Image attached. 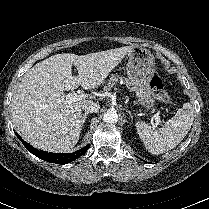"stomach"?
Instances as JSON below:
<instances>
[{
  "label": "stomach",
  "mask_w": 209,
  "mask_h": 209,
  "mask_svg": "<svg viewBox=\"0 0 209 209\" xmlns=\"http://www.w3.org/2000/svg\"><path fill=\"white\" fill-rule=\"evenodd\" d=\"M126 70L129 84L133 86L137 102L146 110L152 109L155 104L150 87V81L155 73V58L153 54L147 49L134 47L128 53Z\"/></svg>",
  "instance_id": "1"
}]
</instances>
